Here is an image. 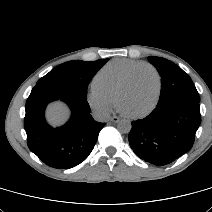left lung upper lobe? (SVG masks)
<instances>
[{
    "label": "left lung upper lobe",
    "instance_id": "5c2ea615",
    "mask_svg": "<svg viewBox=\"0 0 212 212\" xmlns=\"http://www.w3.org/2000/svg\"><path fill=\"white\" fill-rule=\"evenodd\" d=\"M148 60L161 75V93L158 103L174 98H187L200 102L194 83L179 66L161 57L149 56Z\"/></svg>",
    "mask_w": 212,
    "mask_h": 212
}]
</instances>
